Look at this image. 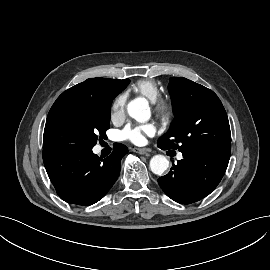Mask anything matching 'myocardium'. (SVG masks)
<instances>
[{"mask_svg":"<svg viewBox=\"0 0 270 270\" xmlns=\"http://www.w3.org/2000/svg\"><path fill=\"white\" fill-rule=\"evenodd\" d=\"M153 109L156 115L164 120L169 121L173 116V103L169 98L159 97L153 102Z\"/></svg>","mask_w":270,"mask_h":270,"instance_id":"myocardium-1","label":"myocardium"}]
</instances>
